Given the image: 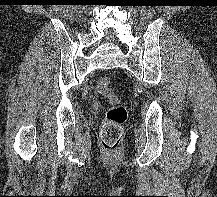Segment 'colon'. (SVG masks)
Listing matches in <instances>:
<instances>
[{"label": "colon", "mask_w": 217, "mask_h": 197, "mask_svg": "<svg viewBox=\"0 0 217 197\" xmlns=\"http://www.w3.org/2000/svg\"><path fill=\"white\" fill-rule=\"evenodd\" d=\"M110 85L111 80L106 76L100 77L97 81V92L111 104L101 126V143L106 151L114 152L120 147L123 124L126 122L128 114L126 108L120 103L119 96L113 92Z\"/></svg>", "instance_id": "colon-1"}]
</instances>
